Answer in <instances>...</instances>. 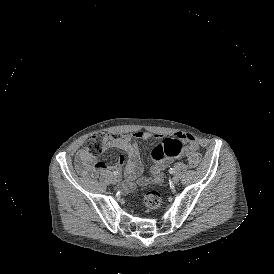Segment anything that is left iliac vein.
Here are the masks:
<instances>
[{
    "mask_svg": "<svg viewBox=\"0 0 274 274\" xmlns=\"http://www.w3.org/2000/svg\"><path fill=\"white\" fill-rule=\"evenodd\" d=\"M172 182H173L174 184H177V183L179 182V177L175 175V176L172 178Z\"/></svg>",
    "mask_w": 274,
    "mask_h": 274,
    "instance_id": "obj_1",
    "label": "left iliac vein"
}]
</instances>
